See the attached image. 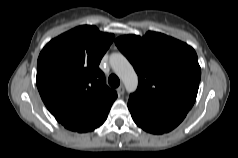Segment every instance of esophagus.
<instances>
[{
    "instance_id": "34e87169",
    "label": "esophagus",
    "mask_w": 238,
    "mask_h": 158,
    "mask_svg": "<svg viewBox=\"0 0 238 158\" xmlns=\"http://www.w3.org/2000/svg\"><path fill=\"white\" fill-rule=\"evenodd\" d=\"M117 90H118V92H119L120 95H123V94H124L125 89H124V86H123V85H120Z\"/></svg>"
}]
</instances>
